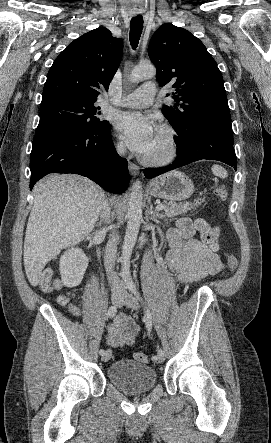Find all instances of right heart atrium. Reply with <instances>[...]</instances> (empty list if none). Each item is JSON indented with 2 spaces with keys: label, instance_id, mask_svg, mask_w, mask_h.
Instances as JSON below:
<instances>
[{
  "label": "right heart atrium",
  "instance_id": "d8ad5b80",
  "mask_svg": "<svg viewBox=\"0 0 271 443\" xmlns=\"http://www.w3.org/2000/svg\"><path fill=\"white\" fill-rule=\"evenodd\" d=\"M115 148L120 153L125 151V146H124V144L121 141H117L115 143Z\"/></svg>",
  "mask_w": 271,
  "mask_h": 443
}]
</instances>
